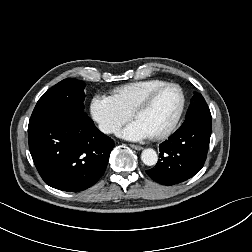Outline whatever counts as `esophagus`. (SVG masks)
Returning <instances> with one entry per match:
<instances>
[{"label":"esophagus","instance_id":"obj_1","mask_svg":"<svg viewBox=\"0 0 252 252\" xmlns=\"http://www.w3.org/2000/svg\"><path fill=\"white\" fill-rule=\"evenodd\" d=\"M130 147L135 149V150H142L143 147L142 146H139V145H135V144H130Z\"/></svg>","mask_w":252,"mask_h":252}]
</instances>
